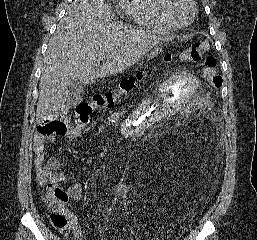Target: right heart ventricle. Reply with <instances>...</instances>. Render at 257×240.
<instances>
[{"mask_svg": "<svg viewBox=\"0 0 257 240\" xmlns=\"http://www.w3.org/2000/svg\"><path fill=\"white\" fill-rule=\"evenodd\" d=\"M120 6L125 16L144 28L163 33L174 29L160 15L157 0H120Z\"/></svg>", "mask_w": 257, "mask_h": 240, "instance_id": "e07e8e85", "label": "right heart ventricle"}]
</instances>
